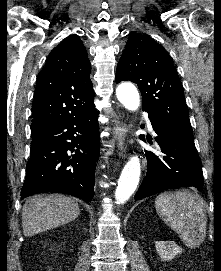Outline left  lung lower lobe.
Segmentation results:
<instances>
[{"label":"left lung lower lobe","mask_w":221,"mask_h":271,"mask_svg":"<svg viewBox=\"0 0 221 271\" xmlns=\"http://www.w3.org/2000/svg\"><path fill=\"white\" fill-rule=\"evenodd\" d=\"M153 130L157 134L155 141L164 156L158 157L146 152L148 169L135 201L152 196L168 189L193 186L198 190L203 186L202 164L195 148L194 139L177 131L167 123L150 117ZM140 139L145 141L144 135ZM147 140L152 143L148 135Z\"/></svg>","instance_id":"1"}]
</instances>
